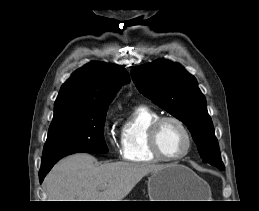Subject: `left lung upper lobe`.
Listing matches in <instances>:
<instances>
[{
    "mask_svg": "<svg viewBox=\"0 0 259 211\" xmlns=\"http://www.w3.org/2000/svg\"><path fill=\"white\" fill-rule=\"evenodd\" d=\"M131 75L142 94L187 126L203 161L224 169L206 99L196 79L180 64L166 59L139 66Z\"/></svg>",
    "mask_w": 259,
    "mask_h": 211,
    "instance_id": "1",
    "label": "left lung upper lobe"
}]
</instances>
